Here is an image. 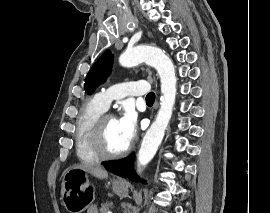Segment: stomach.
Wrapping results in <instances>:
<instances>
[{
    "label": "stomach",
    "mask_w": 270,
    "mask_h": 213,
    "mask_svg": "<svg viewBox=\"0 0 270 213\" xmlns=\"http://www.w3.org/2000/svg\"><path fill=\"white\" fill-rule=\"evenodd\" d=\"M112 190L119 196L128 194V183L113 181ZM94 189L87 173L78 169H68L63 174L61 200L69 213H82L94 201Z\"/></svg>",
    "instance_id": "0dacf381"
}]
</instances>
